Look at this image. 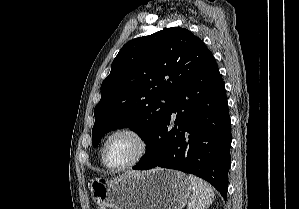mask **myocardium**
Masks as SVG:
<instances>
[{
	"label": "myocardium",
	"instance_id": "obj_1",
	"mask_svg": "<svg viewBox=\"0 0 299 209\" xmlns=\"http://www.w3.org/2000/svg\"><path fill=\"white\" fill-rule=\"evenodd\" d=\"M123 134L130 135L137 140V142L139 144L138 153L129 163H127L125 165L111 166L107 163V160H106V152H107L108 145L114 137H116L118 135H123ZM149 148H150L149 140L143 132H141L140 130L133 128V127H124V128L114 131L107 137V139L103 145V148H102V155H101L102 163L106 168L113 170V171L127 170V169H130V168L138 165L139 163H141L142 160L146 157V155L149 151Z\"/></svg>",
	"mask_w": 299,
	"mask_h": 209
}]
</instances>
